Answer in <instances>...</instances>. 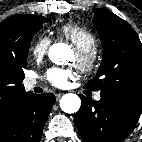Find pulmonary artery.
Instances as JSON below:
<instances>
[{
	"label": "pulmonary artery",
	"instance_id": "pulmonary-artery-1",
	"mask_svg": "<svg viewBox=\"0 0 142 142\" xmlns=\"http://www.w3.org/2000/svg\"><path fill=\"white\" fill-rule=\"evenodd\" d=\"M24 85L27 90H31L37 85V81L35 79L29 78L25 81ZM94 98L98 101L100 100L101 96L100 94H96Z\"/></svg>",
	"mask_w": 142,
	"mask_h": 142
}]
</instances>
